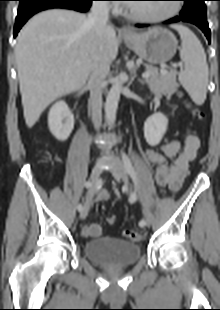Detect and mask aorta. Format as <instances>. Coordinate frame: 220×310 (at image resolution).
Returning a JSON list of instances; mask_svg holds the SVG:
<instances>
[{
	"label": "aorta",
	"mask_w": 220,
	"mask_h": 310,
	"mask_svg": "<svg viewBox=\"0 0 220 310\" xmlns=\"http://www.w3.org/2000/svg\"><path fill=\"white\" fill-rule=\"evenodd\" d=\"M124 76L125 75L121 73L115 78L113 85L106 97L105 115L107 122L111 127L115 124L116 121V113L121 94V87L124 82Z\"/></svg>",
	"instance_id": "762f6f07"
}]
</instances>
